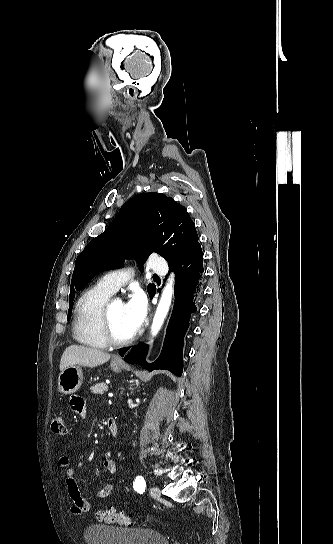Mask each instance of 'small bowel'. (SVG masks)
<instances>
[{"label":"small bowel","mask_w":333,"mask_h":544,"mask_svg":"<svg viewBox=\"0 0 333 544\" xmlns=\"http://www.w3.org/2000/svg\"><path fill=\"white\" fill-rule=\"evenodd\" d=\"M70 407L72 411L81 418L86 417V403L83 398L80 396H72L70 399ZM114 425L117 429V424L113 420ZM58 466L62 470L65 477V484L69 498L71 500L70 511L74 515H81L90 510V503L88 499L82 494L77 480L75 471L69 467V459L65 456H62L58 460ZM102 466L107 473L114 474L117 472L118 466L117 463L110 457V453L107 452L102 460ZM114 490L112 484L103 485L98 491L97 496L101 499L109 497Z\"/></svg>","instance_id":"c3829d8e"}]
</instances>
